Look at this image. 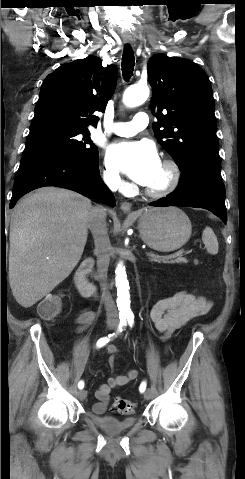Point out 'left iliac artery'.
<instances>
[{
	"label": "left iliac artery",
	"mask_w": 245,
	"mask_h": 479,
	"mask_svg": "<svg viewBox=\"0 0 245 479\" xmlns=\"http://www.w3.org/2000/svg\"><path fill=\"white\" fill-rule=\"evenodd\" d=\"M127 320H128V323L129 325L132 327V325L134 324V315H128L127 316ZM146 389V382L143 381L141 384H140V387H139V390L140 392H144Z\"/></svg>",
	"instance_id": "obj_1"
}]
</instances>
